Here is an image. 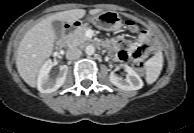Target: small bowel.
<instances>
[{
    "mask_svg": "<svg viewBox=\"0 0 194 133\" xmlns=\"http://www.w3.org/2000/svg\"><path fill=\"white\" fill-rule=\"evenodd\" d=\"M103 45L120 61H138L154 50V38L151 32L144 30L136 40L105 41Z\"/></svg>",
    "mask_w": 194,
    "mask_h": 133,
    "instance_id": "1",
    "label": "small bowel"
}]
</instances>
